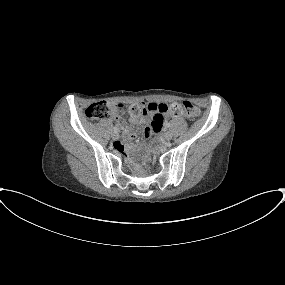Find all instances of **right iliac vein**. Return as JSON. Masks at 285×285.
<instances>
[{
    "mask_svg": "<svg viewBox=\"0 0 285 285\" xmlns=\"http://www.w3.org/2000/svg\"><path fill=\"white\" fill-rule=\"evenodd\" d=\"M112 138H113L114 140H117V139L119 138V134H118L117 132H114V133L112 134Z\"/></svg>",
    "mask_w": 285,
    "mask_h": 285,
    "instance_id": "63e3f726",
    "label": "right iliac vein"
}]
</instances>
